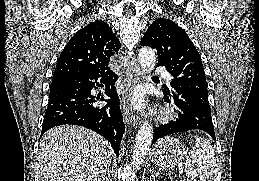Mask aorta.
Instances as JSON below:
<instances>
[{"mask_svg": "<svg viewBox=\"0 0 259 181\" xmlns=\"http://www.w3.org/2000/svg\"><path fill=\"white\" fill-rule=\"evenodd\" d=\"M138 61L142 70L150 73L155 67L156 56L155 52L147 47L140 49ZM153 139L152 125L146 121L140 127L136 139L132 155V164L135 169H139L145 159Z\"/></svg>", "mask_w": 259, "mask_h": 181, "instance_id": "obj_1", "label": "aorta"}]
</instances>
